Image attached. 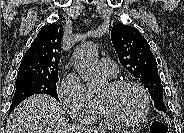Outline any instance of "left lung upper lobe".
<instances>
[{"mask_svg": "<svg viewBox=\"0 0 184 133\" xmlns=\"http://www.w3.org/2000/svg\"><path fill=\"white\" fill-rule=\"evenodd\" d=\"M111 40L120 63L148 88L154 105L166 111L163 86L158 75L157 62L147 40L132 26L118 23L111 30Z\"/></svg>", "mask_w": 184, "mask_h": 133, "instance_id": "obj_1", "label": "left lung upper lobe"}]
</instances>
